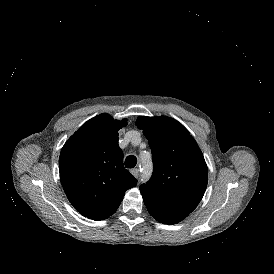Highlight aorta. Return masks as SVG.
Segmentation results:
<instances>
[{
    "mask_svg": "<svg viewBox=\"0 0 274 274\" xmlns=\"http://www.w3.org/2000/svg\"><path fill=\"white\" fill-rule=\"evenodd\" d=\"M143 166H144V170L142 173V180L146 181L151 174V168H152L151 161L149 159H143Z\"/></svg>",
    "mask_w": 274,
    "mask_h": 274,
    "instance_id": "1",
    "label": "aorta"
}]
</instances>
